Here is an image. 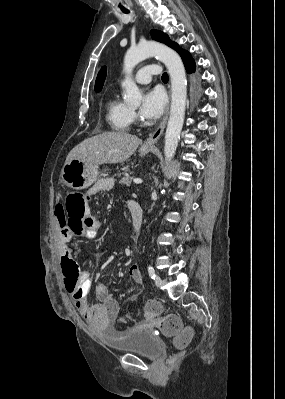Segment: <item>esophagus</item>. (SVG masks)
Wrapping results in <instances>:
<instances>
[{"label": "esophagus", "instance_id": "obj_1", "mask_svg": "<svg viewBox=\"0 0 285 399\" xmlns=\"http://www.w3.org/2000/svg\"><path fill=\"white\" fill-rule=\"evenodd\" d=\"M169 95H170V91H169ZM168 115H169V106L167 107L166 114H165L162 122L160 123L158 128L155 130V132L145 141V143L143 144V148H145V149L152 148L155 145V143L157 142V140L159 139V137L161 136V134L164 131V128L167 123Z\"/></svg>", "mask_w": 285, "mask_h": 399}]
</instances>
